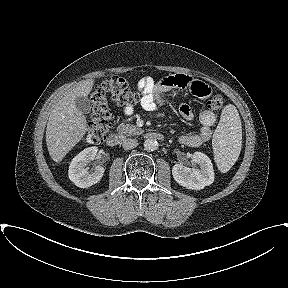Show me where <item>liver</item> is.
<instances>
[{
    "instance_id": "6515ba94",
    "label": "liver",
    "mask_w": 288,
    "mask_h": 288,
    "mask_svg": "<svg viewBox=\"0 0 288 288\" xmlns=\"http://www.w3.org/2000/svg\"><path fill=\"white\" fill-rule=\"evenodd\" d=\"M94 85L93 79L80 81L67 91L52 110L46 127V144L50 157L56 163L80 142L87 131V120L75 105L78 96H88Z\"/></svg>"
}]
</instances>
